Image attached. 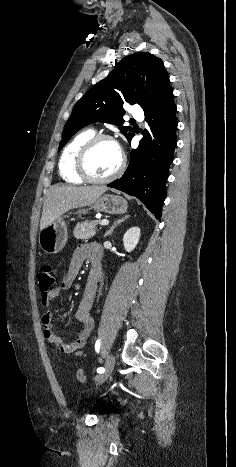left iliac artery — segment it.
<instances>
[{
  "label": "left iliac artery",
  "instance_id": "obj_1",
  "mask_svg": "<svg viewBox=\"0 0 236 467\" xmlns=\"http://www.w3.org/2000/svg\"><path fill=\"white\" fill-rule=\"evenodd\" d=\"M100 344H101V343H100V339H99V340H97L96 343H95V350H96V352H99ZM104 370H105V369H104L103 367H100V368L97 369V372H98V373H103Z\"/></svg>",
  "mask_w": 236,
  "mask_h": 467
}]
</instances>
